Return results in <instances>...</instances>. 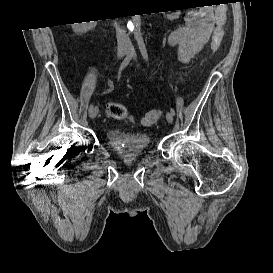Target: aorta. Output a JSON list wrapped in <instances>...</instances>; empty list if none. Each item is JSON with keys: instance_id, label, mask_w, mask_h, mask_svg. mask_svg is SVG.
<instances>
[{"instance_id": "762f6f07", "label": "aorta", "mask_w": 273, "mask_h": 273, "mask_svg": "<svg viewBox=\"0 0 273 273\" xmlns=\"http://www.w3.org/2000/svg\"><path fill=\"white\" fill-rule=\"evenodd\" d=\"M132 22L134 25V38L140 42L142 40V35L140 31V26H141V15H135L132 16Z\"/></svg>"}]
</instances>
